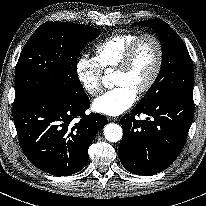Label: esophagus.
Instances as JSON below:
<instances>
[{"label": "esophagus", "instance_id": "34e87169", "mask_svg": "<svg viewBox=\"0 0 206 206\" xmlns=\"http://www.w3.org/2000/svg\"><path fill=\"white\" fill-rule=\"evenodd\" d=\"M108 120L109 121H118L119 118H117V117H108Z\"/></svg>", "mask_w": 206, "mask_h": 206}]
</instances>
